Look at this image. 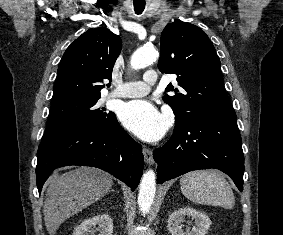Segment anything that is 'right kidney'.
<instances>
[{
  "label": "right kidney",
  "instance_id": "obj_1",
  "mask_svg": "<svg viewBox=\"0 0 283 235\" xmlns=\"http://www.w3.org/2000/svg\"><path fill=\"white\" fill-rule=\"evenodd\" d=\"M91 230L99 232L98 235H112L113 221L108 214H99L85 219L77 226L72 235H90Z\"/></svg>",
  "mask_w": 283,
  "mask_h": 235
}]
</instances>
